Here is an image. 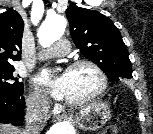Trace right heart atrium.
Here are the masks:
<instances>
[{
	"mask_svg": "<svg viewBox=\"0 0 153 134\" xmlns=\"http://www.w3.org/2000/svg\"><path fill=\"white\" fill-rule=\"evenodd\" d=\"M28 107L35 113H47L50 108V101L45 93L40 90H32L27 97Z\"/></svg>",
	"mask_w": 153,
	"mask_h": 134,
	"instance_id": "d8ad5b80",
	"label": "right heart atrium"
}]
</instances>
